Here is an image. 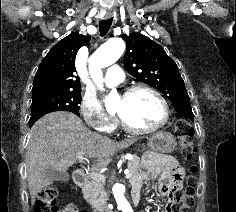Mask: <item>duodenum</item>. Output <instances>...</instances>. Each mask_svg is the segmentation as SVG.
Listing matches in <instances>:
<instances>
[{
  "label": "duodenum",
  "mask_w": 236,
  "mask_h": 212,
  "mask_svg": "<svg viewBox=\"0 0 236 212\" xmlns=\"http://www.w3.org/2000/svg\"><path fill=\"white\" fill-rule=\"evenodd\" d=\"M73 180H74L75 184L78 187H80L81 189H83V190L87 189L88 180H87V176H86L84 169H82V168L76 169L73 172ZM139 198H140V191L133 190L132 191L133 203H135V204L138 203ZM99 211L100 212H108V209L103 208V209H100Z\"/></svg>",
  "instance_id": "duodenum-1"
}]
</instances>
